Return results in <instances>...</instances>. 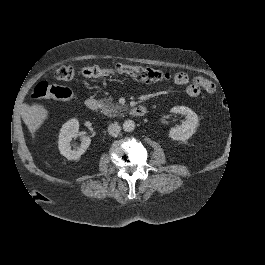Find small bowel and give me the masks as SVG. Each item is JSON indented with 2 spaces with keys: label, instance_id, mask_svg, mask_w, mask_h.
I'll use <instances>...</instances> for the list:
<instances>
[{
  "label": "small bowel",
  "instance_id": "c3829d8e",
  "mask_svg": "<svg viewBox=\"0 0 265 265\" xmlns=\"http://www.w3.org/2000/svg\"><path fill=\"white\" fill-rule=\"evenodd\" d=\"M174 82L177 85H187L186 93L190 97H198L202 92L213 93L215 90L214 84L203 77H191L185 72H178L174 75Z\"/></svg>",
  "mask_w": 265,
  "mask_h": 265
}]
</instances>
